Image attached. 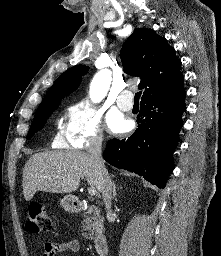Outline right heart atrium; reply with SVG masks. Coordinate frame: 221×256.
I'll list each match as a JSON object with an SVG mask.
<instances>
[{
  "mask_svg": "<svg viewBox=\"0 0 221 256\" xmlns=\"http://www.w3.org/2000/svg\"><path fill=\"white\" fill-rule=\"evenodd\" d=\"M103 141L101 113L89 102L72 104L56 137L60 146L85 149Z\"/></svg>",
  "mask_w": 221,
  "mask_h": 256,
  "instance_id": "d8ad5b80",
  "label": "right heart atrium"
}]
</instances>
